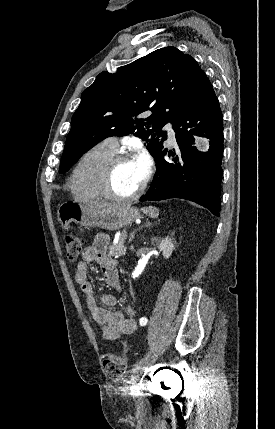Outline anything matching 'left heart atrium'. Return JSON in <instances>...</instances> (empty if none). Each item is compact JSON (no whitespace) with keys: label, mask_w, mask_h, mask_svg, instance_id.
<instances>
[{"label":"left heart atrium","mask_w":275,"mask_h":429,"mask_svg":"<svg viewBox=\"0 0 275 429\" xmlns=\"http://www.w3.org/2000/svg\"><path fill=\"white\" fill-rule=\"evenodd\" d=\"M141 178L144 180L149 171V158L145 152H141L135 159Z\"/></svg>","instance_id":"39dd6f15"}]
</instances>
